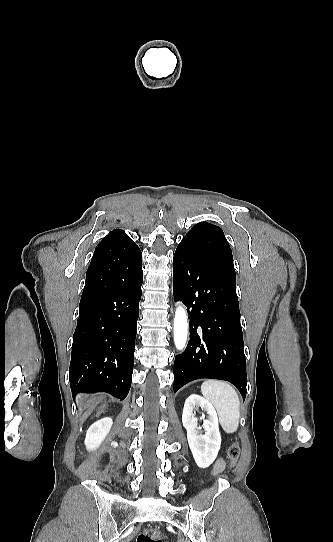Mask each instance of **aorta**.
I'll return each instance as SVG.
<instances>
[{"label":"aorta","mask_w":333,"mask_h":542,"mask_svg":"<svg viewBox=\"0 0 333 542\" xmlns=\"http://www.w3.org/2000/svg\"><path fill=\"white\" fill-rule=\"evenodd\" d=\"M173 338L176 350H185L188 338V320L185 308L177 306L173 322Z\"/></svg>","instance_id":"762f6f07"}]
</instances>
